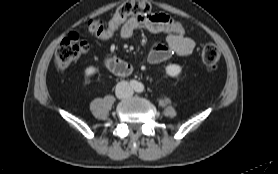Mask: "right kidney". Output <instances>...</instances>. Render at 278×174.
Listing matches in <instances>:
<instances>
[{
  "mask_svg": "<svg viewBox=\"0 0 278 174\" xmlns=\"http://www.w3.org/2000/svg\"><path fill=\"white\" fill-rule=\"evenodd\" d=\"M96 72V68L94 66H88L85 70H84V75L85 77H90L92 75H94Z\"/></svg>",
  "mask_w": 278,
  "mask_h": 174,
  "instance_id": "ca27d5eb",
  "label": "right kidney"
}]
</instances>
